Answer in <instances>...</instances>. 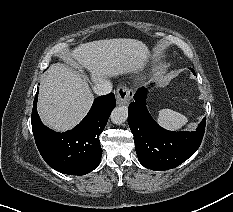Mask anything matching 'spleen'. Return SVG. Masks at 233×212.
Masks as SVG:
<instances>
[{
  "label": "spleen",
  "instance_id": "1",
  "mask_svg": "<svg viewBox=\"0 0 233 212\" xmlns=\"http://www.w3.org/2000/svg\"><path fill=\"white\" fill-rule=\"evenodd\" d=\"M158 123L169 130H179L188 121L187 117L171 109H162L159 111Z\"/></svg>",
  "mask_w": 233,
  "mask_h": 212
}]
</instances>
